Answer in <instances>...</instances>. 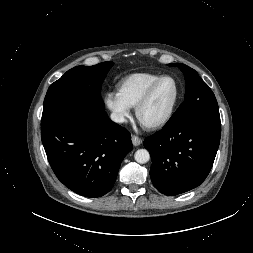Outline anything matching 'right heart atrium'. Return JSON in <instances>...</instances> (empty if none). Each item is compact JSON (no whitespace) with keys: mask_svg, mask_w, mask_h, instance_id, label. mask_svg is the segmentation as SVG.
I'll list each match as a JSON object with an SVG mask.
<instances>
[{"mask_svg":"<svg viewBox=\"0 0 253 253\" xmlns=\"http://www.w3.org/2000/svg\"><path fill=\"white\" fill-rule=\"evenodd\" d=\"M104 104L117 122H124L130 114V108L114 93H107L104 96Z\"/></svg>","mask_w":253,"mask_h":253,"instance_id":"obj_1","label":"right heart atrium"}]
</instances>
